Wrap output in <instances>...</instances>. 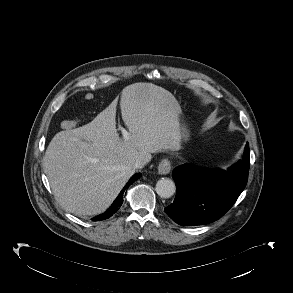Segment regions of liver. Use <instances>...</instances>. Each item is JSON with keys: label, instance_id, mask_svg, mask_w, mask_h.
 <instances>
[{"label": "liver", "instance_id": "1", "mask_svg": "<svg viewBox=\"0 0 293 293\" xmlns=\"http://www.w3.org/2000/svg\"><path fill=\"white\" fill-rule=\"evenodd\" d=\"M117 103L82 127L58 132L47 147L44 172L67 212L103 213L135 173L137 159L181 147L179 107L167 90L148 83L123 89L120 108L129 141L116 129Z\"/></svg>", "mask_w": 293, "mask_h": 293}]
</instances>
